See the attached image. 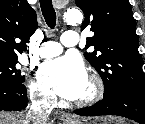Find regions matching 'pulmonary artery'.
<instances>
[{
  "instance_id": "1",
  "label": "pulmonary artery",
  "mask_w": 145,
  "mask_h": 124,
  "mask_svg": "<svg viewBox=\"0 0 145 124\" xmlns=\"http://www.w3.org/2000/svg\"><path fill=\"white\" fill-rule=\"evenodd\" d=\"M78 35L73 30L65 31L61 36L60 42H43L40 49V55L43 58H50L62 53L64 47H74L77 45Z\"/></svg>"
}]
</instances>
